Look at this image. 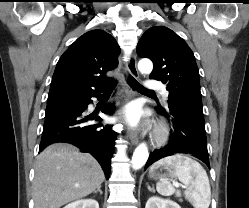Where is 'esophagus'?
<instances>
[{"instance_id":"34e87169","label":"esophagus","mask_w":249,"mask_h":208,"mask_svg":"<svg viewBox=\"0 0 249 208\" xmlns=\"http://www.w3.org/2000/svg\"><path fill=\"white\" fill-rule=\"evenodd\" d=\"M127 70L129 74L134 77L138 78L139 77V72L137 70V61H136V56L133 54L130 56L129 60L127 61ZM131 94V92L129 93ZM130 96V95H129ZM128 138L130 139L132 144H137L138 143V134L135 130L129 129L127 132Z\"/></svg>"}]
</instances>
